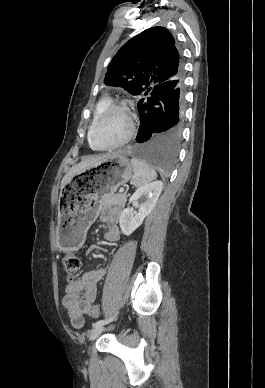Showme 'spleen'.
<instances>
[{
    "mask_svg": "<svg viewBox=\"0 0 265 388\" xmlns=\"http://www.w3.org/2000/svg\"><path fill=\"white\" fill-rule=\"evenodd\" d=\"M131 164L134 172L133 184L135 188H142V186H146L149 182L156 180L157 174L155 170H152L145 160L132 158Z\"/></svg>",
    "mask_w": 265,
    "mask_h": 388,
    "instance_id": "spleen-1",
    "label": "spleen"
}]
</instances>
